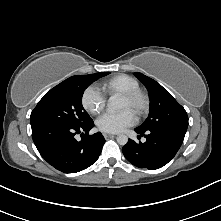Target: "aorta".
<instances>
[{"mask_svg": "<svg viewBox=\"0 0 221 221\" xmlns=\"http://www.w3.org/2000/svg\"><path fill=\"white\" fill-rule=\"evenodd\" d=\"M121 108V103L119 101V99H117L116 97H110L107 103V111L109 113H113L116 112L117 110H119ZM128 142V137L126 135H119L117 136V143L119 145H126Z\"/></svg>", "mask_w": 221, "mask_h": 221, "instance_id": "1", "label": "aorta"}]
</instances>
